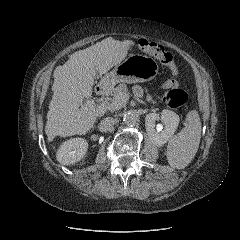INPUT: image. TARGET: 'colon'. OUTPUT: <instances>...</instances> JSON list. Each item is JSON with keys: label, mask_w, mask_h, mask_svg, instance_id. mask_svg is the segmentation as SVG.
<instances>
[{"label": "colon", "mask_w": 240, "mask_h": 240, "mask_svg": "<svg viewBox=\"0 0 240 240\" xmlns=\"http://www.w3.org/2000/svg\"><path fill=\"white\" fill-rule=\"evenodd\" d=\"M140 51L156 57L163 65L167 66L173 75L178 74V69L174 63V56L162 45L140 39L137 43ZM188 100V94L183 89L173 88L164 96V102L172 108L184 105Z\"/></svg>", "instance_id": "colon-1"}]
</instances>
